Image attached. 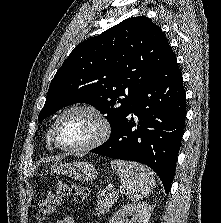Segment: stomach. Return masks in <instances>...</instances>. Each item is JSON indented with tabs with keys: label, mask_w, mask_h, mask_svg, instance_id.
I'll return each mask as SVG.
<instances>
[{
	"label": "stomach",
	"mask_w": 221,
	"mask_h": 223,
	"mask_svg": "<svg viewBox=\"0 0 221 223\" xmlns=\"http://www.w3.org/2000/svg\"><path fill=\"white\" fill-rule=\"evenodd\" d=\"M51 173L58 175H66L72 179L88 182L95 180L98 172L95 167L88 162H73L65 164H55L51 166Z\"/></svg>",
	"instance_id": "obj_1"
}]
</instances>
